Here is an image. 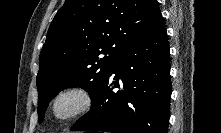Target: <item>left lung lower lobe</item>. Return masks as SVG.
<instances>
[{
	"instance_id": "obj_1",
	"label": "left lung lower lobe",
	"mask_w": 221,
	"mask_h": 133,
	"mask_svg": "<svg viewBox=\"0 0 221 133\" xmlns=\"http://www.w3.org/2000/svg\"><path fill=\"white\" fill-rule=\"evenodd\" d=\"M169 45L162 18L127 44L72 131L167 133L171 96ZM122 89L113 91L115 88Z\"/></svg>"
}]
</instances>
